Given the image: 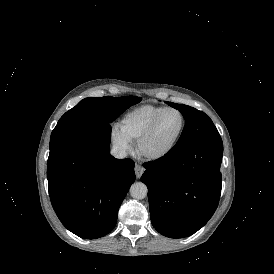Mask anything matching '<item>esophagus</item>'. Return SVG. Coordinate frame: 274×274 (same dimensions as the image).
I'll return each mask as SVG.
<instances>
[{
  "instance_id": "1",
  "label": "esophagus",
  "mask_w": 274,
  "mask_h": 274,
  "mask_svg": "<svg viewBox=\"0 0 274 274\" xmlns=\"http://www.w3.org/2000/svg\"><path fill=\"white\" fill-rule=\"evenodd\" d=\"M144 167L142 166V165H140V164H135V174H136V176L138 177V178H140L141 177V175L143 174V172H144Z\"/></svg>"
}]
</instances>
